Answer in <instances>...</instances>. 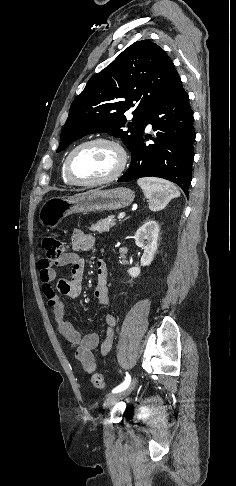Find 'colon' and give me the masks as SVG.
<instances>
[{
    "label": "colon",
    "mask_w": 236,
    "mask_h": 486,
    "mask_svg": "<svg viewBox=\"0 0 236 486\" xmlns=\"http://www.w3.org/2000/svg\"><path fill=\"white\" fill-rule=\"evenodd\" d=\"M43 248L46 252V257L49 261H57L65 251V242L58 236L50 234L43 238ZM92 383L97 389L105 388V381L101 373H94L92 376Z\"/></svg>",
    "instance_id": "obj_1"
}]
</instances>
